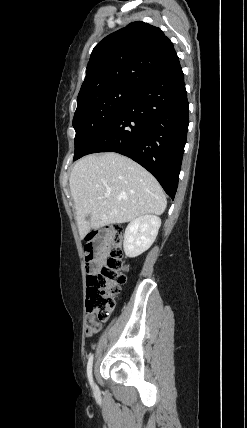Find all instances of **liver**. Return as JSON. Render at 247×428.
<instances>
[{
	"label": "liver",
	"instance_id": "liver-1",
	"mask_svg": "<svg viewBox=\"0 0 247 428\" xmlns=\"http://www.w3.org/2000/svg\"><path fill=\"white\" fill-rule=\"evenodd\" d=\"M69 183L81 238L109 224L161 215L167 205L160 184L148 171L113 152L80 159Z\"/></svg>",
	"mask_w": 247,
	"mask_h": 428
}]
</instances>
